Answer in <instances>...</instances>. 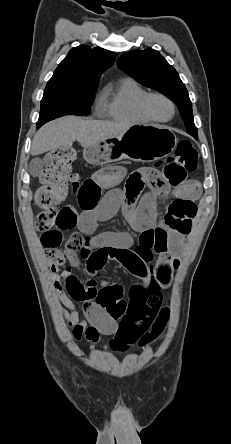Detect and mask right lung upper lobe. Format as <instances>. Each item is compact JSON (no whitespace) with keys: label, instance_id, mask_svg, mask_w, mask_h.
Returning <instances> with one entry per match:
<instances>
[{"label":"right lung upper lobe","instance_id":"1","mask_svg":"<svg viewBox=\"0 0 231 444\" xmlns=\"http://www.w3.org/2000/svg\"><path fill=\"white\" fill-rule=\"evenodd\" d=\"M114 60L113 53L103 48L74 47L60 62L45 89H95L101 74Z\"/></svg>","mask_w":231,"mask_h":444}]
</instances>
